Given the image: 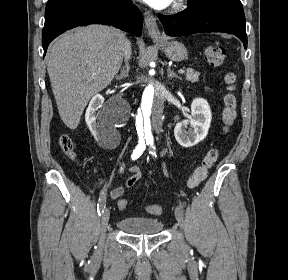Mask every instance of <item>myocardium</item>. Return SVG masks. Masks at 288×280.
<instances>
[{"label": "myocardium", "mask_w": 288, "mask_h": 280, "mask_svg": "<svg viewBox=\"0 0 288 280\" xmlns=\"http://www.w3.org/2000/svg\"><path fill=\"white\" fill-rule=\"evenodd\" d=\"M188 3V0H174L172 3L171 11L178 12L183 10Z\"/></svg>", "instance_id": "myocardium-1"}]
</instances>
